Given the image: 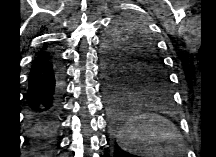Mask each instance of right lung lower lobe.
Listing matches in <instances>:
<instances>
[{
	"instance_id": "1",
	"label": "right lung lower lobe",
	"mask_w": 216,
	"mask_h": 157,
	"mask_svg": "<svg viewBox=\"0 0 216 157\" xmlns=\"http://www.w3.org/2000/svg\"><path fill=\"white\" fill-rule=\"evenodd\" d=\"M60 73L48 52L38 54L28 77L29 140L36 157H50L56 145Z\"/></svg>"
}]
</instances>
